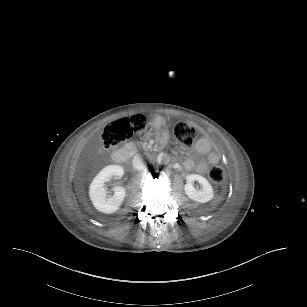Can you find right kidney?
Here are the masks:
<instances>
[{"mask_svg": "<svg viewBox=\"0 0 307 307\" xmlns=\"http://www.w3.org/2000/svg\"><path fill=\"white\" fill-rule=\"evenodd\" d=\"M123 175L124 169L122 166L108 165L93 179L89 187V196L98 211L111 214L119 209L126 194L125 188L117 186L114 188V195L107 196L104 183L109 181L113 176L121 178Z\"/></svg>", "mask_w": 307, "mask_h": 307, "instance_id": "1", "label": "right kidney"}]
</instances>
